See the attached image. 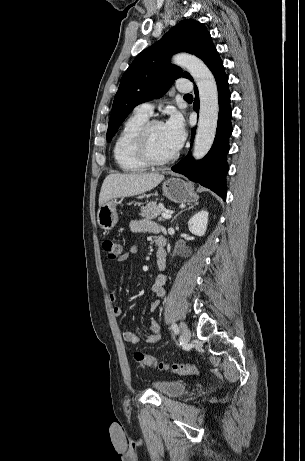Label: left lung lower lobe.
<instances>
[{
	"mask_svg": "<svg viewBox=\"0 0 305 461\" xmlns=\"http://www.w3.org/2000/svg\"><path fill=\"white\" fill-rule=\"evenodd\" d=\"M209 69L212 71L217 87L219 100V115L216 136L212 148L208 154L200 161H194L190 152L177 163L172 170L188 177L191 181L211 189L224 200L226 197V174L228 165L226 155L229 151V136L232 133L230 92L228 88V78L225 74L223 62L219 55L215 57ZM194 110L199 112L198 90L195 86ZM196 127L192 129V140Z\"/></svg>",
	"mask_w": 305,
	"mask_h": 461,
	"instance_id": "1",
	"label": "left lung lower lobe"
}]
</instances>
